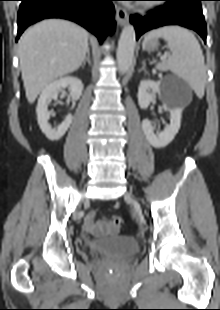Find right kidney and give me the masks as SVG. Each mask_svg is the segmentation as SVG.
I'll return each instance as SVG.
<instances>
[{"label": "right kidney", "instance_id": "1", "mask_svg": "<svg viewBox=\"0 0 220 310\" xmlns=\"http://www.w3.org/2000/svg\"><path fill=\"white\" fill-rule=\"evenodd\" d=\"M65 88L69 89L72 100H78L82 95L83 84L77 77L66 76L47 85L38 99L36 108L38 124L41 131L51 141L59 140L66 133L72 123L71 114H68L65 120L57 128H52L48 123L50 118L48 104L52 99H56L58 93Z\"/></svg>", "mask_w": 220, "mask_h": 310}]
</instances>
